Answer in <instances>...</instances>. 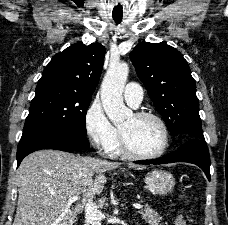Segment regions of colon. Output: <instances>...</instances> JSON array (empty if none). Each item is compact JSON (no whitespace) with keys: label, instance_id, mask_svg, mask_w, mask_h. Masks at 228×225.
Wrapping results in <instances>:
<instances>
[{"label":"colon","instance_id":"5ec220e1","mask_svg":"<svg viewBox=\"0 0 228 225\" xmlns=\"http://www.w3.org/2000/svg\"><path fill=\"white\" fill-rule=\"evenodd\" d=\"M175 225H187V221L182 215H178L175 219Z\"/></svg>","mask_w":228,"mask_h":225}]
</instances>
